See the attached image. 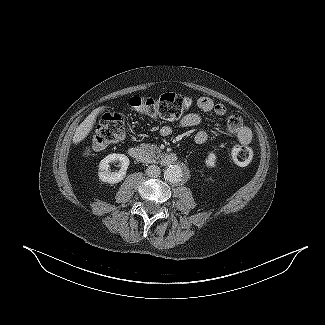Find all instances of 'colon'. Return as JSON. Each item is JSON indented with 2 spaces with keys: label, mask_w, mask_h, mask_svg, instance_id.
Returning a JSON list of instances; mask_svg holds the SVG:
<instances>
[{
  "label": "colon",
  "mask_w": 325,
  "mask_h": 325,
  "mask_svg": "<svg viewBox=\"0 0 325 325\" xmlns=\"http://www.w3.org/2000/svg\"><path fill=\"white\" fill-rule=\"evenodd\" d=\"M190 97L164 93L155 96H137L130 100L131 108L139 114L162 121H175L191 107ZM126 134V118L119 111L105 113L84 148L89 154L99 151L124 139ZM252 149L246 145L238 144L231 151V158L237 165H247L252 160Z\"/></svg>",
  "instance_id": "obj_1"
}]
</instances>
